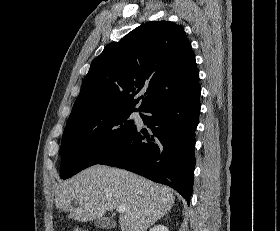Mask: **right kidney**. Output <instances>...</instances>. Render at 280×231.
Instances as JSON below:
<instances>
[{
    "label": "right kidney",
    "mask_w": 280,
    "mask_h": 231,
    "mask_svg": "<svg viewBox=\"0 0 280 231\" xmlns=\"http://www.w3.org/2000/svg\"><path fill=\"white\" fill-rule=\"evenodd\" d=\"M149 231H168V227L166 225H154Z\"/></svg>",
    "instance_id": "1"
}]
</instances>
